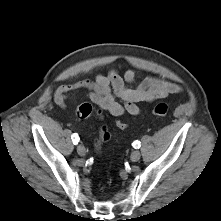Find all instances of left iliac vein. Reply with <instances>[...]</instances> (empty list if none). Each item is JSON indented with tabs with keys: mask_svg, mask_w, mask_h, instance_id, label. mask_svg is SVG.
I'll list each match as a JSON object with an SVG mask.
<instances>
[{
	"mask_svg": "<svg viewBox=\"0 0 221 221\" xmlns=\"http://www.w3.org/2000/svg\"><path fill=\"white\" fill-rule=\"evenodd\" d=\"M140 157H141V153L138 150L133 151L130 156L131 161H133V162L138 161L140 159Z\"/></svg>",
	"mask_w": 221,
	"mask_h": 221,
	"instance_id": "1",
	"label": "left iliac vein"
}]
</instances>
